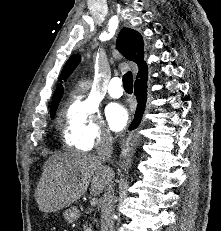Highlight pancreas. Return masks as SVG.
<instances>
[{"instance_id": "pancreas-1", "label": "pancreas", "mask_w": 221, "mask_h": 231, "mask_svg": "<svg viewBox=\"0 0 221 231\" xmlns=\"http://www.w3.org/2000/svg\"><path fill=\"white\" fill-rule=\"evenodd\" d=\"M93 230V226L91 224H87V226H84V231H92Z\"/></svg>"}]
</instances>
